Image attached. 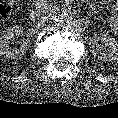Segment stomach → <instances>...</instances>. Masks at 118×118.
I'll return each instance as SVG.
<instances>
[{
	"mask_svg": "<svg viewBox=\"0 0 118 118\" xmlns=\"http://www.w3.org/2000/svg\"><path fill=\"white\" fill-rule=\"evenodd\" d=\"M114 0H102L103 3H112ZM116 6L118 7V0L116 2Z\"/></svg>",
	"mask_w": 118,
	"mask_h": 118,
	"instance_id": "1",
	"label": "stomach"
}]
</instances>
